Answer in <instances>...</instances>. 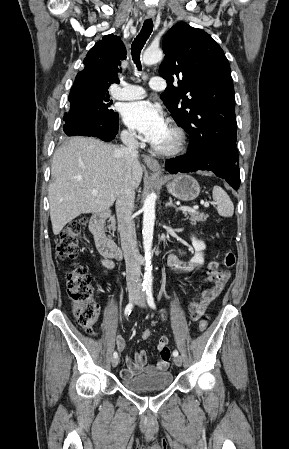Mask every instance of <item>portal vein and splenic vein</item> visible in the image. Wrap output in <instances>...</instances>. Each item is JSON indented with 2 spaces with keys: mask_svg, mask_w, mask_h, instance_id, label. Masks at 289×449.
Here are the masks:
<instances>
[{
  "mask_svg": "<svg viewBox=\"0 0 289 449\" xmlns=\"http://www.w3.org/2000/svg\"><path fill=\"white\" fill-rule=\"evenodd\" d=\"M91 193L92 194H97L98 190L94 189V190L91 191ZM203 206L204 207H209V203L205 202V203H203ZM179 209L182 210L183 212H197L195 208H191V207H187V206H181Z\"/></svg>",
  "mask_w": 289,
  "mask_h": 449,
  "instance_id": "obj_1",
  "label": "portal vein and splenic vein"
}]
</instances>
